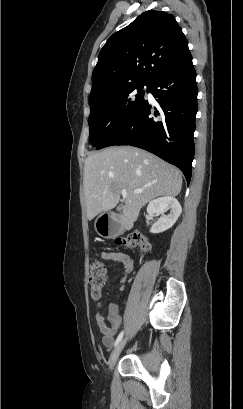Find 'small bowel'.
Masks as SVG:
<instances>
[{"label": "small bowel", "mask_w": 243, "mask_h": 409, "mask_svg": "<svg viewBox=\"0 0 243 409\" xmlns=\"http://www.w3.org/2000/svg\"><path fill=\"white\" fill-rule=\"evenodd\" d=\"M100 257L104 260L116 263L121 267L122 269V277L120 279L121 286L119 287L118 292H117V295H120L124 290L123 284L126 282L127 276L133 271V262L131 258L125 253L116 252V251L103 252L101 253ZM101 308H102V300L98 302V310L96 312V321L102 332L103 345L105 347H110L114 342V335L116 333V330L119 328L122 321L118 314L117 306L111 304L110 305V320L113 324V328L112 329L106 328L104 317L101 312Z\"/></svg>", "instance_id": "obj_1"}]
</instances>
